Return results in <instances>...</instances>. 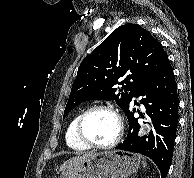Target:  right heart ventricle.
<instances>
[{
	"mask_svg": "<svg viewBox=\"0 0 194 178\" xmlns=\"http://www.w3.org/2000/svg\"><path fill=\"white\" fill-rule=\"evenodd\" d=\"M79 115L74 116L65 133V140H66V144L69 148H71L72 150L75 151H84L86 149H88L87 146H85L84 144H82L76 137L75 134V126H76V122L78 119Z\"/></svg>",
	"mask_w": 194,
	"mask_h": 178,
	"instance_id": "right-heart-ventricle-1",
	"label": "right heart ventricle"
}]
</instances>
